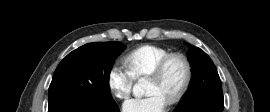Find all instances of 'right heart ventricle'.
<instances>
[{"mask_svg":"<svg viewBox=\"0 0 270 112\" xmlns=\"http://www.w3.org/2000/svg\"><path fill=\"white\" fill-rule=\"evenodd\" d=\"M171 52L157 45H143L125 57V63L135 79L148 77L159 62Z\"/></svg>","mask_w":270,"mask_h":112,"instance_id":"obj_1","label":"right heart ventricle"}]
</instances>
